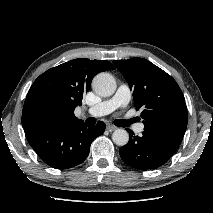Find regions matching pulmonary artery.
Instances as JSON below:
<instances>
[{"mask_svg": "<svg viewBox=\"0 0 213 213\" xmlns=\"http://www.w3.org/2000/svg\"><path fill=\"white\" fill-rule=\"evenodd\" d=\"M131 98V91L128 85L121 84L114 96L108 100H105L87 110V114L93 117H100L107 115L118 108L127 106ZM136 133L141 134L144 130L142 123L137 124L134 127Z\"/></svg>", "mask_w": 213, "mask_h": 213, "instance_id": "e3ab8cb5", "label": "pulmonary artery"}]
</instances>
